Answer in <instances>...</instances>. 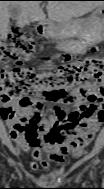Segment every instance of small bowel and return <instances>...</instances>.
Here are the masks:
<instances>
[{
    "mask_svg": "<svg viewBox=\"0 0 104 189\" xmlns=\"http://www.w3.org/2000/svg\"><path fill=\"white\" fill-rule=\"evenodd\" d=\"M52 101L72 104V109L57 107L42 116L43 99L36 98L27 104L5 101L1 110L10 137L21 139L25 151L32 155V169L62 163L70 152L80 155L104 118L101 96L90 83Z\"/></svg>",
    "mask_w": 104,
    "mask_h": 189,
    "instance_id": "1",
    "label": "small bowel"
}]
</instances>
